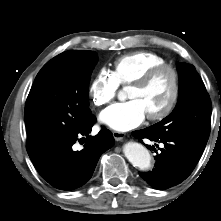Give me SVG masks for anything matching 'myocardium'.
I'll return each instance as SVG.
<instances>
[{"instance_id": "1", "label": "myocardium", "mask_w": 221, "mask_h": 221, "mask_svg": "<svg viewBox=\"0 0 221 221\" xmlns=\"http://www.w3.org/2000/svg\"><path fill=\"white\" fill-rule=\"evenodd\" d=\"M163 72H169L172 76V93L168 103L160 112L147 115V118L152 121L163 120L168 117L174 110L180 96L179 71L173 65L165 63L147 70L138 79L131 83V86L133 87L145 88Z\"/></svg>"}]
</instances>
